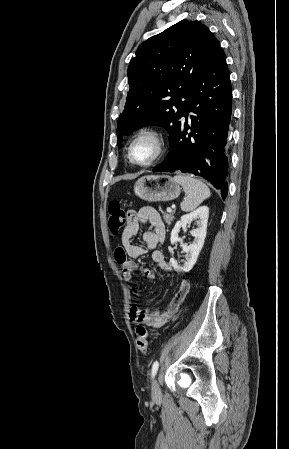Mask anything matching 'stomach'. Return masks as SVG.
Here are the masks:
<instances>
[{
	"mask_svg": "<svg viewBox=\"0 0 289 449\" xmlns=\"http://www.w3.org/2000/svg\"><path fill=\"white\" fill-rule=\"evenodd\" d=\"M181 192L177 182L168 175H146L139 178L134 185V193L148 202L171 201Z\"/></svg>",
	"mask_w": 289,
	"mask_h": 449,
	"instance_id": "1",
	"label": "stomach"
}]
</instances>
